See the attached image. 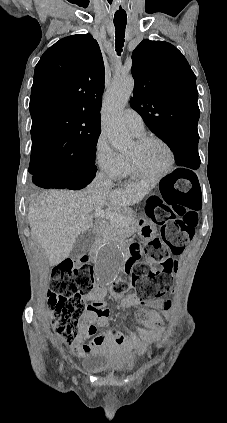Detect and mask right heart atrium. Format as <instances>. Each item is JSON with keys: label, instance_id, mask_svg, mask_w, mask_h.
<instances>
[{"label": "right heart atrium", "instance_id": "1", "mask_svg": "<svg viewBox=\"0 0 227 423\" xmlns=\"http://www.w3.org/2000/svg\"><path fill=\"white\" fill-rule=\"evenodd\" d=\"M94 160L97 167L112 179H120L126 174L125 156L112 148L103 131L95 140Z\"/></svg>", "mask_w": 227, "mask_h": 423}]
</instances>
